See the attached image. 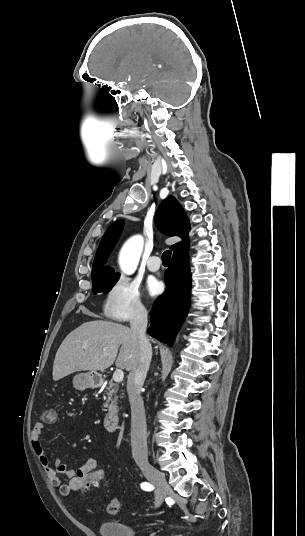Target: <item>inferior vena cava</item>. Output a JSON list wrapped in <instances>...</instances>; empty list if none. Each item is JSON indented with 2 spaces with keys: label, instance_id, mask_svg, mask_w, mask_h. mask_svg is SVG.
<instances>
[{
  "label": "inferior vena cava",
  "instance_id": "inferior-vena-cava-1",
  "mask_svg": "<svg viewBox=\"0 0 305 536\" xmlns=\"http://www.w3.org/2000/svg\"><path fill=\"white\" fill-rule=\"evenodd\" d=\"M131 330L137 336L140 348L138 366L132 368L127 382V392L131 406V448L132 456L136 460H147V426L144 402L141 398V388L149 370L152 348L146 338L147 310L143 306H136L130 318Z\"/></svg>",
  "mask_w": 305,
  "mask_h": 536
}]
</instances>
